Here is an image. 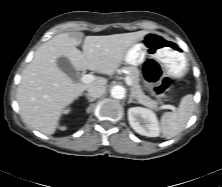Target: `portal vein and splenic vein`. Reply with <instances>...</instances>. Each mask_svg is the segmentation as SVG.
<instances>
[{
  "instance_id": "portal-vein-and-splenic-vein-1",
  "label": "portal vein and splenic vein",
  "mask_w": 222,
  "mask_h": 187,
  "mask_svg": "<svg viewBox=\"0 0 222 187\" xmlns=\"http://www.w3.org/2000/svg\"><path fill=\"white\" fill-rule=\"evenodd\" d=\"M93 80H95V76L94 75H91V74H86V75H83L81 77V82L82 83H91ZM125 82L128 86H131L132 85V81L131 79L127 76L125 77ZM162 108L164 109H170V110H173L175 111L176 110V107L174 105H163Z\"/></svg>"
}]
</instances>
